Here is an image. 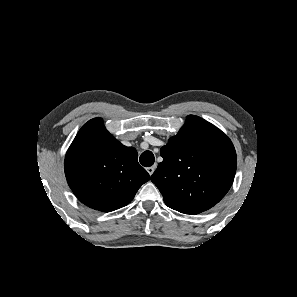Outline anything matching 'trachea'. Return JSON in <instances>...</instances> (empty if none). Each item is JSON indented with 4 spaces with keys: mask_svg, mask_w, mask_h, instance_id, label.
Segmentation results:
<instances>
[{
    "mask_svg": "<svg viewBox=\"0 0 297 297\" xmlns=\"http://www.w3.org/2000/svg\"><path fill=\"white\" fill-rule=\"evenodd\" d=\"M139 161L144 167H150L154 164L155 157L151 151H145L141 154Z\"/></svg>",
    "mask_w": 297,
    "mask_h": 297,
    "instance_id": "1",
    "label": "trachea"
}]
</instances>
